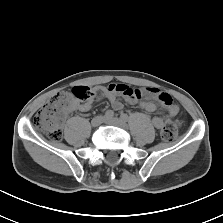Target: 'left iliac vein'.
Returning <instances> with one entry per match:
<instances>
[{
    "instance_id": "obj_1",
    "label": "left iliac vein",
    "mask_w": 223,
    "mask_h": 223,
    "mask_svg": "<svg viewBox=\"0 0 223 223\" xmlns=\"http://www.w3.org/2000/svg\"><path fill=\"white\" fill-rule=\"evenodd\" d=\"M104 122L109 125H114L120 128L125 129L127 127L126 121L121 118H110L105 119Z\"/></svg>"
}]
</instances>
